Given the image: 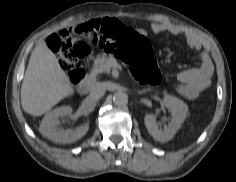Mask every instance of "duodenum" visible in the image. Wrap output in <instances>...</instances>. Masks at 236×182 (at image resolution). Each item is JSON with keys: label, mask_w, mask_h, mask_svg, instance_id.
<instances>
[{"label": "duodenum", "mask_w": 236, "mask_h": 182, "mask_svg": "<svg viewBox=\"0 0 236 182\" xmlns=\"http://www.w3.org/2000/svg\"><path fill=\"white\" fill-rule=\"evenodd\" d=\"M95 78L89 75L85 80H83L78 86V92L81 95L87 94L94 84Z\"/></svg>", "instance_id": "duodenum-1"}]
</instances>
